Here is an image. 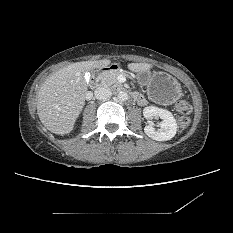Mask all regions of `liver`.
Here are the masks:
<instances>
[{
	"instance_id": "6515ba94",
	"label": "liver",
	"mask_w": 233,
	"mask_h": 233,
	"mask_svg": "<svg viewBox=\"0 0 233 233\" xmlns=\"http://www.w3.org/2000/svg\"><path fill=\"white\" fill-rule=\"evenodd\" d=\"M108 59L72 63L54 74L42 84L37 96V113L41 123L52 133L64 135L72 131L81 113L88 88L84 72L109 66ZM133 72L152 68L148 63H130Z\"/></svg>"
}]
</instances>
